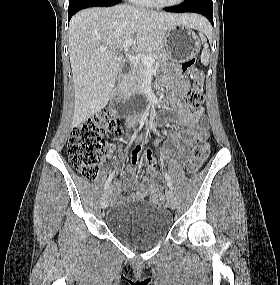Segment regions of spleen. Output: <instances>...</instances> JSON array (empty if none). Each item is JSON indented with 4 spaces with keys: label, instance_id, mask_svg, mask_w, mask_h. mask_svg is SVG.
Segmentation results:
<instances>
[{
    "label": "spleen",
    "instance_id": "spleen-1",
    "mask_svg": "<svg viewBox=\"0 0 280 285\" xmlns=\"http://www.w3.org/2000/svg\"><path fill=\"white\" fill-rule=\"evenodd\" d=\"M198 29H199L202 41L205 42L204 48L201 53V63L207 66L209 64L210 51H209V45L206 43V38L204 34L210 30V27L207 24H205Z\"/></svg>",
    "mask_w": 280,
    "mask_h": 285
}]
</instances>
